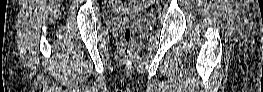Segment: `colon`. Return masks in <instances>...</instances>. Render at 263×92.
<instances>
[{
    "mask_svg": "<svg viewBox=\"0 0 263 92\" xmlns=\"http://www.w3.org/2000/svg\"><path fill=\"white\" fill-rule=\"evenodd\" d=\"M111 4L115 5V6H121L123 3L120 1H112ZM123 35H124V40H125L123 50L127 52V50H129L130 45L135 38V31H134L133 27L130 25L126 26L124 28Z\"/></svg>",
    "mask_w": 263,
    "mask_h": 92,
    "instance_id": "colon-1",
    "label": "colon"
}]
</instances>
